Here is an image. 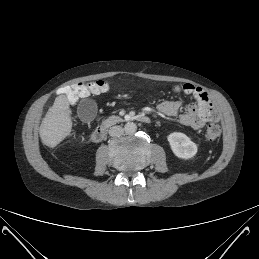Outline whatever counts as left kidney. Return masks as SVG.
<instances>
[{
  "label": "left kidney",
  "instance_id": "left-kidney-1",
  "mask_svg": "<svg viewBox=\"0 0 259 259\" xmlns=\"http://www.w3.org/2000/svg\"><path fill=\"white\" fill-rule=\"evenodd\" d=\"M171 150L181 159H190L197 153V145L181 132H173L167 137Z\"/></svg>",
  "mask_w": 259,
  "mask_h": 259
}]
</instances>
